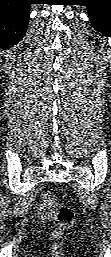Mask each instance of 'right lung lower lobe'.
<instances>
[{"label":"right lung lower lobe","mask_w":111,"mask_h":257,"mask_svg":"<svg viewBox=\"0 0 111 257\" xmlns=\"http://www.w3.org/2000/svg\"><path fill=\"white\" fill-rule=\"evenodd\" d=\"M30 0H0V47L15 45L28 26Z\"/></svg>","instance_id":"right-lung-lower-lobe-1"}]
</instances>
